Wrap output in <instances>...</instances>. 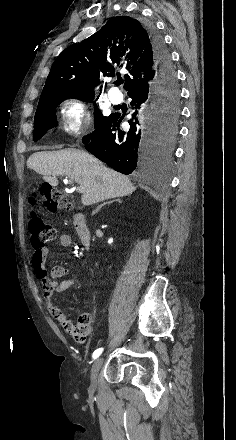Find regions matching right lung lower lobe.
Here are the masks:
<instances>
[{"label":"right lung lower lobe","instance_id":"98d812e1","mask_svg":"<svg viewBox=\"0 0 236 440\" xmlns=\"http://www.w3.org/2000/svg\"><path fill=\"white\" fill-rule=\"evenodd\" d=\"M144 26L153 48L157 75L153 83L128 93L132 99L130 129L121 130L119 125L123 116L112 113L91 135L82 139L87 151L123 174L141 173L158 163L163 153V146L158 141L163 103L155 96L154 88L170 82L177 84L171 56L162 36L154 26Z\"/></svg>","mask_w":236,"mask_h":440}]
</instances>
